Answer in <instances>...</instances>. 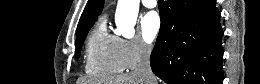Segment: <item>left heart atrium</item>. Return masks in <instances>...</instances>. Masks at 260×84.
I'll use <instances>...</instances> for the list:
<instances>
[{
	"instance_id": "left-heart-atrium-1",
	"label": "left heart atrium",
	"mask_w": 260,
	"mask_h": 84,
	"mask_svg": "<svg viewBox=\"0 0 260 84\" xmlns=\"http://www.w3.org/2000/svg\"><path fill=\"white\" fill-rule=\"evenodd\" d=\"M160 29V19L156 12H148L141 21L142 35L147 41H152Z\"/></svg>"
}]
</instances>
